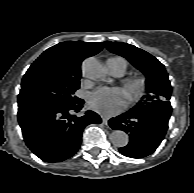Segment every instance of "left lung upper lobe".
Masks as SVG:
<instances>
[{"label": "left lung upper lobe", "instance_id": "left-lung-upper-lobe-1", "mask_svg": "<svg viewBox=\"0 0 194 193\" xmlns=\"http://www.w3.org/2000/svg\"><path fill=\"white\" fill-rule=\"evenodd\" d=\"M106 48L127 58L146 75V94L134 108H140L161 101H169L171 85L165 67L154 56L134 45L120 42H104Z\"/></svg>", "mask_w": 194, "mask_h": 193}]
</instances>
